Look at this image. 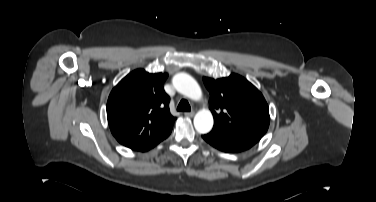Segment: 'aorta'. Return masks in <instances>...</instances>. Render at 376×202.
I'll use <instances>...</instances> for the list:
<instances>
[{"label":"aorta","mask_w":376,"mask_h":202,"mask_svg":"<svg viewBox=\"0 0 376 202\" xmlns=\"http://www.w3.org/2000/svg\"><path fill=\"white\" fill-rule=\"evenodd\" d=\"M175 89L193 100L202 98V91L196 80L187 73H178L172 79ZM213 116L208 110L199 111L194 117V126L198 133L206 134L213 127Z\"/></svg>","instance_id":"obj_1"}]
</instances>
